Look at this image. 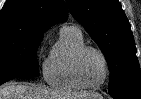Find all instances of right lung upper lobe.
I'll list each match as a JSON object with an SVG mask.
<instances>
[{
  "mask_svg": "<svg viewBox=\"0 0 141 99\" xmlns=\"http://www.w3.org/2000/svg\"><path fill=\"white\" fill-rule=\"evenodd\" d=\"M67 18L63 0H7L0 11V34L22 33L43 37L52 25Z\"/></svg>",
  "mask_w": 141,
  "mask_h": 99,
  "instance_id": "1",
  "label": "right lung upper lobe"
}]
</instances>
